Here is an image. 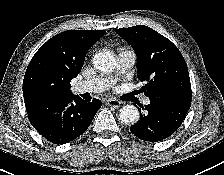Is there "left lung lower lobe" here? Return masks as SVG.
Wrapping results in <instances>:
<instances>
[{"label":"left lung lower lobe","instance_id":"obj_1","mask_svg":"<svg viewBox=\"0 0 224 175\" xmlns=\"http://www.w3.org/2000/svg\"><path fill=\"white\" fill-rule=\"evenodd\" d=\"M149 99L150 104L142 106L146 113L140 116L130 131L142 140L158 142L171 136L180 127L191 106V100L171 97Z\"/></svg>","mask_w":224,"mask_h":175}]
</instances>
